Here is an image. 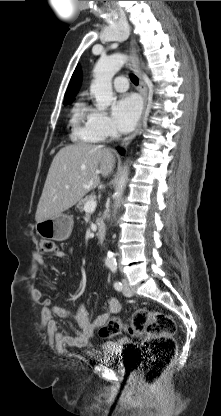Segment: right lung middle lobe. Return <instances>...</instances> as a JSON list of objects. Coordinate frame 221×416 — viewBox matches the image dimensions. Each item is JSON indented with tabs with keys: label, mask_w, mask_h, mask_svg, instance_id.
<instances>
[{
	"label": "right lung middle lobe",
	"mask_w": 221,
	"mask_h": 416,
	"mask_svg": "<svg viewBox=\"0 0 221 416\" xmlns=\"http://www.w3.org/2000/svg\"><path fill=\"white\" fill-rule=\"evenodd\" d=\"M68 104H71V102L70 101H65L64 102V105H68Z\"/></svg>",
	"instance_id": "1"
}]
</instances>
